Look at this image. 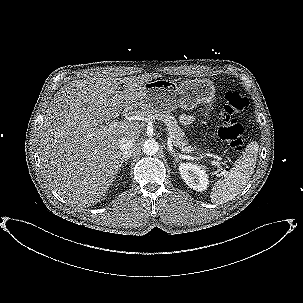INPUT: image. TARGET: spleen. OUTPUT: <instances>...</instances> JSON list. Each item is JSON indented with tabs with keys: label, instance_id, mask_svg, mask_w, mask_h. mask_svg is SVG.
Returning a JSON list of instances; mask_svg holds the SVG:
<instances>
[{
	"label": "spleen",
	"instance_id": "3e777b00",
	"mask_svg": "<svg viewBox=\"0 0 303 303\" xmlns=\"http://www.w3.org/2000/svg\"><path fill=\"white\" fill-rule=\"evenodd\" d=\"M259 145L249 143L224 178L217 180L210 194L211 202L223 204L235 198L248 184L254 173Z\"/></svg>",
	"mask_w": 303,
	"mask_h": 303
}]
</instances>
